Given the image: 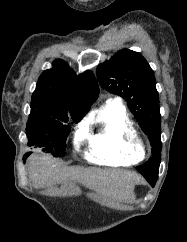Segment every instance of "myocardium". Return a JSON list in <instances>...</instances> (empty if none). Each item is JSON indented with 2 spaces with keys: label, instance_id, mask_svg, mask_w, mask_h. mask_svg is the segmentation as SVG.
Masks as SVG:
<instances>
[{
  "label": "myocardium",
  "instance_id": "myocardium-1",
  "mask_svg": "<svg viewBox=\"0 0 187 242\" xmlns=\"http://www.w3.org/2000/svg\"><path fill=\"white\" fill-rule=\"evenodd\" d=\"M130 145L142 157H144L148 151L147 143L139 135H136L130 139Z\"/></svg>",
  "mask_w": 187,
  "mask_h": 242
}]
</instances>
